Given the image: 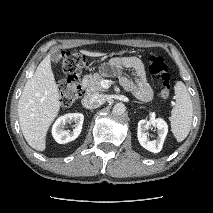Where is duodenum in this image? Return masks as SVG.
Returning <instances> with one entry per match:
<instances>
[{
	"label": "duodenum",
	"mask_w": 213,
	"mask_h": 213,
	"mask_svg": "<svg viewBox=\"0 0 213 213\" xmlns=\"http://www.w3.org/2000/svg\"><path fill=\"white\" fill-rule=\"evenodd\" d=\"M81 88H82V90H83V93H84V90H85V89H84V85H81Z\"/></svg>",
	"instance_id": "1"
}]
</instances>
